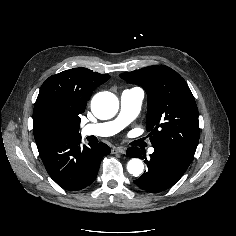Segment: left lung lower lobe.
I'll use <instances>...</instances> for the list:
<instances>
[{"instance_id":"obj_1","label":"left lung lower lobe","mask_w":236,"mask_h":236,"mask_svg":"<svg viewBox=\"0 0 236 236\" xmlns=\"http://www.w3.org/2000/svg\"><path fill=\"white\" fill-rule=\"evenodd\" d=\"M130 157H142L137 147L127 150ZM145 158V154H143ZM194 158V154L170 146L154 145V153L150 160L145 158L147 171L134 183L141 189L150 193L163 192L183 176Z\"/></svg>"}]
</instances>
